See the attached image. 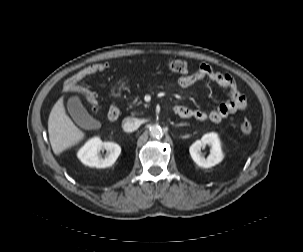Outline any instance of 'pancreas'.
<instances>
[{
	"label": "pancreas",
	"instance_id": "obj_1",
	"mask_svg": "<svg viewBox=\"0 0 303 252\" xmlns=\"http://www.w3.org/2000/svg\"><path fill=\"white\" fill-rule=\"evenodd\" d=\"M139 100V97H136L133 102L129 105V107L131 108L133 105H136V104H140V102L138 101Z\"/></svg>",
	"mask_w": 303,
	"mask_h": 252
}]
</instances>
